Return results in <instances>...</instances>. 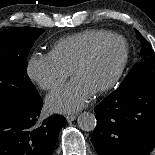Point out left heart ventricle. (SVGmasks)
Wrapping results in <instances>:
<instances>
[{
  "label": "left heart ventricle",
  "instance_id": "1",
  "mask_svg": "<svg viewBox=\"0 0 155 155\" xmlns=\"http://www.w3.org/2000/svg\"><path fill=\"white\" fill-rule=\"evenodd\" d=\"M124 56V46L119 40H110L100 47L94 58L79 70L74 79L95 93L116 74Z\"/></svg>",
  "mask_w": 155,
  "mask_h": 155
}]
</instances>
